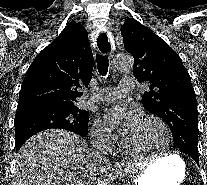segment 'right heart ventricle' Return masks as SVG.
<instances>
[{
    "label": "right heart ventricle",
    "instance_id": "e07e8e85",
    "mask_svg": "<svg viewBox=\"0 0 207 185\" xmlns=\"http://www.w3.org/2000/svg\"><path fill=\"white\" fill-rule=\"evenodd\" d=\"M110 152H112L113 154H125V150L123 148V146L119 143H117L111 150Z\"/></svg>",
    "mask_w": 207,
    "mask_h": 185
}]
</instances>
